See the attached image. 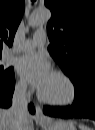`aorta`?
<instances>
[{
    "mask_svg": "<svg viewBox=\"0 0 95 130\" xmlns=\"http://www.w3.org/2000/svg\"><path fill=\"white\" fill-rule=\"evenodd\" d=\"M51 18V12L47 8L36 9L29 20L30 26L47 23Z\"/></svg>",
    "mask_w": 95,
    "mask_h": 130,
    "instance_id": "obj_1",
    "label": "aorta"
}]
</instances>
